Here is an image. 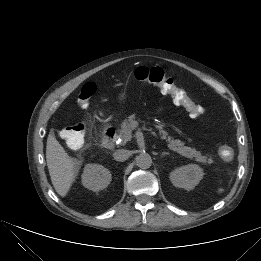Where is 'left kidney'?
Instances as JSON below:
<instances>
[{
  "label": "left kidney",
  "mask_w": 261,
  "mask_h": 261,
  "mask_svg": "<svg viewBox=\"0 0 261 261\" xmlns=\"http://www.w3.org/2000/svg\"><path fill=\"white\" fill-rule=\"evenodd\" d=\"M203 170L196 164H189L175 169L170 180L175 187L193 189L203 178Z\"/></svg>",
  "instance_id": "5707ae66"
}]
</instances>
